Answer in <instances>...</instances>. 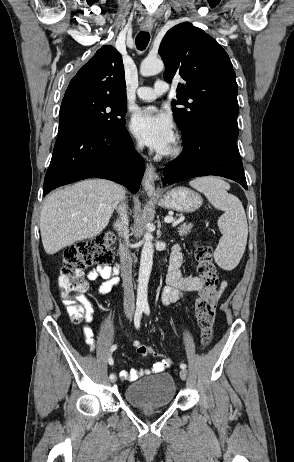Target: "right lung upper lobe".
I'll return each mask as SVG.
<instances>
[{
    "instance_id": "obj_1",
    "label": "right lung upper lobe",
    "mask_w": 294,
    "mask_h": 462,
    "mask_svg": "<svg viewBox=\"0 0 294 462\" xmlns=\"http://www.w3.org/2000/svg\"><path fill=\"white\" fill-rule=\"evenodd\" d=\"M79 95L126 99L122 56L113 46L97 50L72 78L63 99Z\"/></svg>"
}]
</instances>
